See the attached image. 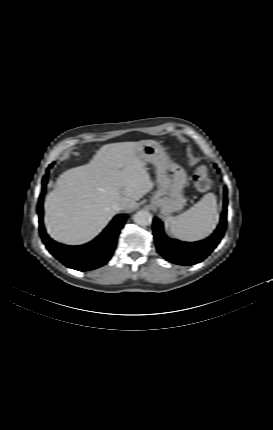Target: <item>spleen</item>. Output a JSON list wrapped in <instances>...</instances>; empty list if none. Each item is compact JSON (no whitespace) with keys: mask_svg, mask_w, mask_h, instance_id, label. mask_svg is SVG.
I'll return each instance as SVG.
<instances>
[{"mask_svg":"<svg viewBox=\"0 0 273 430\" xmlns=\"http://www.w3.org/2000/svg\"><path fill=\"white\" fill-rule=\"evenodd\" d=\"M218 221L216 195L208 193L193 207L179 216H168L165 222L171 234L179 240L194 242L208 237Z\"/></svg>","mask_w":273,"mask_h":430,"instance_id":"3e777b00","label":"spleen"}]
</instances>
